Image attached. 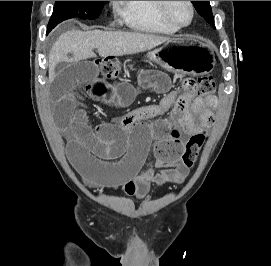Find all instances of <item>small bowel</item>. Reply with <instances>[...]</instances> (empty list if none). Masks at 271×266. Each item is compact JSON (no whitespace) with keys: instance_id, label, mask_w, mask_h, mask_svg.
<instances>
[{"instance_id":"c3829d8e","label":"small bowel","mask_w":271,"mask_h":266,"mask_svg":"<svg viewBox=\"0 0 271 266\" xmlns=\"http://www.w3.org/2000/svg\"><path fill=\"white\" fill-rule=\"evenodd\" d=\"M50 78L54 115L68 140V159L84 183L89 187L122 188L137 198L145 197L153 184L183 182L187 171L181 162L185 145L181 135L211 126L212 109L218 103L214 95L188 97L171 91L168 75L147 66L138 72V82L144 88L166 93L160 103L92 126L86 112L77 105L81 85L91 99L118 107L132 102L133 86L128 82H107L90 61L57 64ZM168 111V120L146 123ZM153 141L155 164L144 166Z\"/></svg>"}]
</instances>
